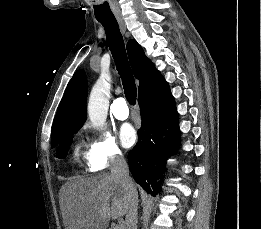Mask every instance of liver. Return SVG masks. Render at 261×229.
<instances>
[{
	"label": "liver",
	"instance_id": "6515ba94",
	"mask_svg": "<svg viewBox=\"0 0 261 229\" xmlns=\"http://www.w3.org/2000/svg\"><path fill=\"white\" fill-rule=\"evenodd\" d=\"M65 187L66 229H107L111 217L120 219L128 211L130 199L123 185L109 173L75 177Z\"/></svg>",
	"mask_w": 261,
	"mask_h": 229
}]
</instances>
